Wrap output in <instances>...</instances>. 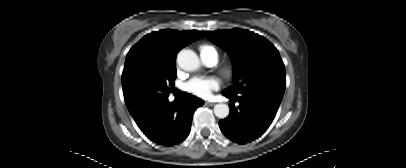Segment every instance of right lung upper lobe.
Segmentation results:
<instances>
[{
    "mask_svg": "<svg viewBox=\"0 0 406 168\" xmlns=\"http://www.w3.org/2000/svg\"><path fill=\"white\" fill-rule=\"evenodd\" d=\"M203 37L199 31L160 30L144 36L127 54L125 66L134 61H147L159 65H175L177 52Z\"/></svg>",
    "mask_w": 406,
    "mask_h": 168,
    "instance_id": "cb5924a9",
    "label": "right lung upper lobe"
}]
</instances>
